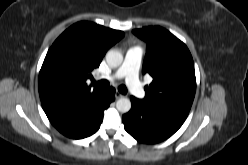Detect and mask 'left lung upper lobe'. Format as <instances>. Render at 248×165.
<instances>
[{
  "label": "left lung upper lobe",
  "instance_id": "5c2ea615",
  "mask_svg": "<svg viewBox=\"0 0 248 165\" xmlns=\"http://www.w3.org/2000/svg\"><path fill=\"white\" fill-rule=\"evenodd\" d=\"M133 33L147 42L143 73L153 77L141 101L186 118L196 90L194 62L187 46L159 26L135 29Z\"/></svg>",
  "mask_w": 248,
  "mask_h": 165
}]
</instances>
